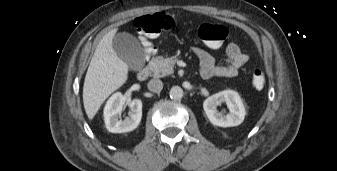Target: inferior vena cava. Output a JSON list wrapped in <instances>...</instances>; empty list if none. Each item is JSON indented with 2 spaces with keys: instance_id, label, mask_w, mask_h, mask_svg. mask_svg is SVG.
<instances>
[{
  "instance_id": "obj_1",
  "label": "inferior vena cava",
  "mask_w": 337,
  "mask_h": 171,
  "mask_svg": "<svg viewBox=\"0 0 337 171\" xmlns=\"http://www.w3.org/2000/svg\"><path fill=\"white\" fill-rule=\"evenodd\" d=\"M163 88V83L159 79H151L148 82V89L152 92L158 93L162 90Z\"/></svg>"
}]
</instances>
